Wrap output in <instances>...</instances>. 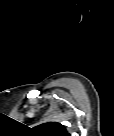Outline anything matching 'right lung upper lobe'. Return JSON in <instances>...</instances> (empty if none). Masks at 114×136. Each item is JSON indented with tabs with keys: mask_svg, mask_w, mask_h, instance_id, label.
I'll return each instance as SVG.
<instances>
[{
	"mask_svg": "<svg viewBox=\"0 0 114 136\" xmlns=\"http://www.w3.org/2000/svg\"><path fill=\"white\" fill-rule=\"evenodd\" d=\"M33 132L39 136H69L65 126L57 122L38 125L34 127Z\"/></svg>",
	"mask_w": 114,
	"mask_h": 136,
	"instance_id": "1",
	"label": "right lung upper lobe"
}]
</instances>
